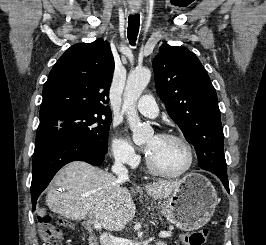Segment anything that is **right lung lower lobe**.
Returning a JSON list of instances; mask_svg holds the SVG:
<instances>
[{"label": "right lung lower lobe", "instance_id": "98d812e1", "mask_svg": "<svg viewBox=\"0 0 266 245\" xmlns=\"http://www.w3.org/2000/svg\"><path fill=\"white\" fill-rule=\"evenodd\" d=\"M105 155L82 141L66 136H56L37 143L32 160V210H35L41 192L62 166L75 160L97 166L104 161Z\"/></svg>", "mask_w": 266, "mask_h": 245}]
</instances>
